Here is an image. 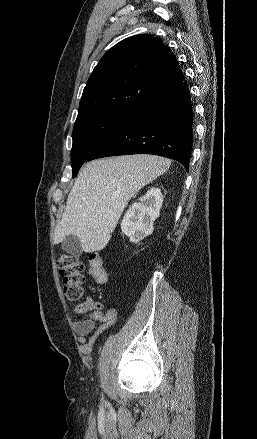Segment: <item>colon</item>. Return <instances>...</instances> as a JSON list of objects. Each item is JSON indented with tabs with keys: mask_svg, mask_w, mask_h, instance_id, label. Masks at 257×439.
<instances>
[{
	"mask_svg": "<svg viewBox=\"0 0 257 439\" xmlns=\"http://www.w3.org/2000/svg\"><path fill=\"white\" fill-rule=\"evenodd\" d=\"M90 273L99 284L107 282V273L103 267V261L99 254H92L89 259ZM57 267L62 277L63 292L66 299L72 303H78L84 295V266L73 255L61 252L57 256Z\"/></svg>",
	"mask_w": 257,
	"mask_h": 439,
	"instance_id": "1",
	"label": "colon"
}]
</instances>
